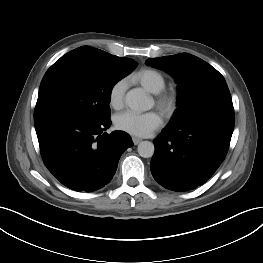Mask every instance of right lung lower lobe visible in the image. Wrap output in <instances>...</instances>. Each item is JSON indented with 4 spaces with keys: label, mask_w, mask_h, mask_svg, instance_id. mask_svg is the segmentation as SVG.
<instances>
[{
    "label": "right lung lower lobe",
    "mask_w": 263,
    "mask_h": 263,
    "mask_svg": "<svg viewBox=\"0 0 263 263\" xmlns=\"http://www.w3.org/2000/svg\"><path fill=\"white\" fill-rule=\"evenodd\" d=\"M110 118L55 115L35 121L42 159L66 187L92 192L108 184L122 153L133 146L123 131L107 134Z\"/></svg>",
    "instance_id": "right-lung-lower-lobe-1"
}]
</instances>
